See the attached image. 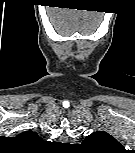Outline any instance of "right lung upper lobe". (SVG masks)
Masks as SVG:
<instances>
[{"label":"right lung upper lobe","mask_w":135,"mask_h":153,"mask_svg":"<svg viewBox=\"0 0 135 153\" xmlns=\"http://www.w3.org/2000/svg\"><path fill=\"white\" fill-rule=\"evenodd\" d=\"M20 138H24L27 140H39L40 137L33 131H26L19 135Z\"/></svg>","instance_id":"cb5924a9"}]
</instances>
